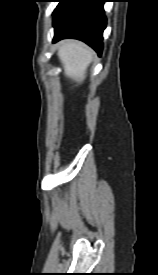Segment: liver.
<instances>
[{"label":"liver","instance_id":"obj_1","mask_svg":"<svg viewBox=\"0 0 158 275\" xmlns=\"http://www.w3.org/2000/svg\"><path fill=\"white\" fill-rule=\"evenodd\" d=\"M57 54L63 65L65 76L76 83L82 82L92 62L93 51L81 42L68 40L60 44Z\"/></svg>","mask_w":158,"mask_h":275}]
</instances>
